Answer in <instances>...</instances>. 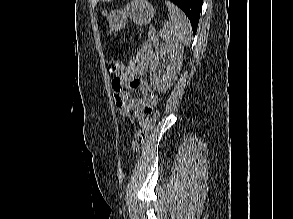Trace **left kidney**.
<instances>
[{"label":"left kidney","mask_w":293,"mask_h":219,"mask_svg":"<svg viewBox=\"0 0 293 219\" xmlns=\"http://www.w3.org/2000/svg\"><path fill=\"white\" fill-rule=\"evenodd\" d=\"M184 49L181 45L164 42L156 51L150 63V82L155 91L164 93L170 89L181 68ZM166 61V72L159 69L160 61Z\"/></svg>","instance_id":"5707ae66"}]
</instances>
